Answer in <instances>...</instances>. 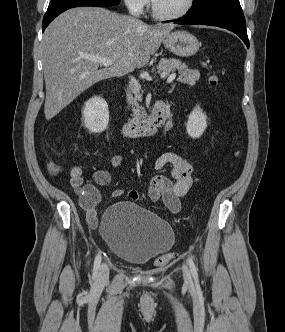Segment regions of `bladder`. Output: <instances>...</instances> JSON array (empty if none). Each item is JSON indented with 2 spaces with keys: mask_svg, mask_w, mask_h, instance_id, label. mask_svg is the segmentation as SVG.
Instances as JSON below:
<instances>
[{
  "mask_svg": "<svg viewBox=\"0 0 285 332\" xmlns=\"http://www.w3.org/2000/svg\"><path fill=\"white\" fill-rule=\"evenodd\" d=\"M100 233L111 253L130 264L146 263L174 242L169 223L129 201L114 202L106 208Z\"/></svg>",
  "mask_w": 285,
  "mask_h": 332,
  "instance_id": "obj_1",
  "label": "bladder"
}]
</instances>
